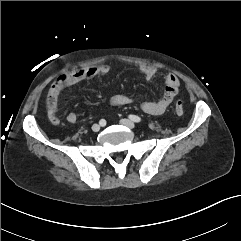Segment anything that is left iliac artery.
Returning a JSON list of instances; mask_svg holds the SVG:
<instances>
[{
	"mask_svg": "<svg viewBox=\"0 0 241 241\" xmlns=\"http://www.w3.org/2000/svg\"><path fill=\"white\" fill-rule=\"evenodd\" d=\"M129 118L134 121V122H140L141 121V118L139 116H136V115H129Z\"/></svg>",
	"mask_w": 241,
	"mask_h": 241,
	"instance_id": "obj_1",
	"label": "left iliac artery"
}]
</instances>
